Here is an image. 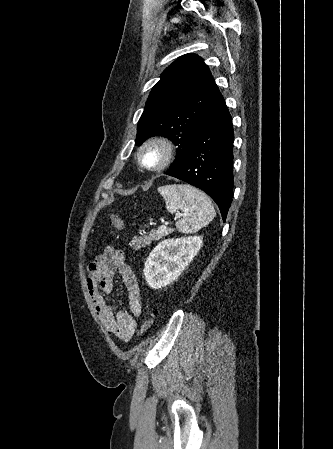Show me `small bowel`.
<instances>
[{"mask_svg": "<svg viewBox=\"0 0 333 449\" xmlns=\"http://www.w3.org/2000/svg\"><path fill=\"white\" fill-rule=\"evenodd\" d=\"M116 274L125 287L128 310L115 311L104 296L113 291ZM86 282L95 312L106 330L122 341H129L137 329L142 297L137 277L125 262L122 251L113 247L106 248L87 266Z\"/></svg>", "mask_w": 333, "mask_h": 449, "instance_id": "c3829d8e", "label": "small bowel"}]
</instances>
